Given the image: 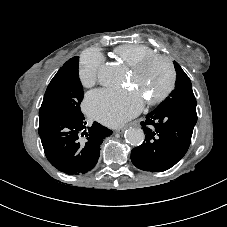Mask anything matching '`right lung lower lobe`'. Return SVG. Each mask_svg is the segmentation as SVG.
Returning <instances> with one entry per match:
<instances>
[{
    "instance_id": "98d812e1",
    "label": "right lung lower lobe",
    "mask_w": 227,
    "mask_h": 227,
    "mask_svg": "<svg viewBox=\"0 0 227 227\" xmlns=\"http://www.w3.org/2000/svg\"><path fill=\"white\" fill-rule=\"evenodd\" d=\"M85 118L62 116L39 126V135L48 161L69 175L92 170L100 155V145L112 131L94 122L86 131Z\"/></svg>"
}]
</instances>
